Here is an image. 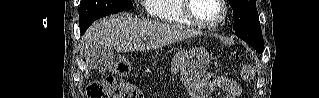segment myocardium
<instances>
[{"mask_svg":"<svg viewBox=\"0 0 319 98\" xmlns=\"http://www.w3.org/2000/svg\"><path fill=\"white\" fill-rule=\"evenodd\" d=\"M192 1V0H191ZM191 1L190 0H182V10L185 17L192 23V25L198 26L200 28L206 29H216L221 26L227 19L228 16V8L225 0H218L219 4L222 7V15L221 17L212 23L204 22L198 19L191 11Z\"/></svg>","mask_w":319,"mask_h":98,"instance_id":"1","label":"myocardium"}]
</instances>
